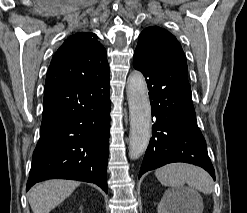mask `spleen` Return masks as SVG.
<instances>
[{"instance_id":"1","label":"spleen","mask_w":247,"mask_h":213,"mask_svg":"<svg viewBox=\"0 0 247 213\" xmlns=\"http://www.w3.org/2000/svg\"><path fill=\"white\" fill-rule=\"evenodd\" d=\"M155 176L164 186L179 190L187 183L191 188L197 189L204 194L213 191V180L202 168L184 163L165 165L155 171Z\"/></svg>"}]
</instances>
